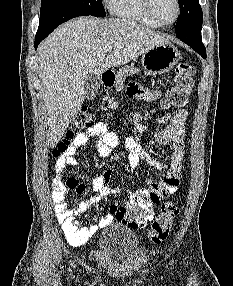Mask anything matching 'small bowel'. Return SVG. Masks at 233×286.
Wrapping results in <instances>:
<instances>
[{
	"label": "small bowel",
	"instance_id": "c3829d8e",
	"mask_svg": "<svg viewBox=\"0 0 233 286\" xmlns=\"http://www.w3.org/2000/svg\"><path fill=\"white\" fill-rule=\"evenodd\" d=\"M131 96L145 101H154L159 98L160 91L143 88L137 84L130 87ZM187 110L180 108L168 121L167 125L155 132V140L161 145L171 147L170 162L168 165L151 157L140 145L135 137L125 140V146L129 150L128 164L135 170L141 162L155 167L159 170H167L164 178L159 181L148 180L147 188L139 189L130 195V201L122 206L112 205L109 213L98 217V207L95 201H81L77 207L70 209L66 201L67 188L65 187L61 172L66 166H78L75 157L78 150L86 145L91 139L98 138L96 147L101 157H108L112 151L120 145V141L114 133L109 132L107 125L103 122L93 124L84 132L78 134L67 151L56 161V174L52 179L51 198L57 218L61 223L62 230L68 242L74 246L85 244L90 237L100 228L110 225L118 220L131 227H140L154 217V206L160 200L167 198L177 191L181 179L182 162L184 157V124L187 119ZM110 173L94 175L92 178L93 188L102 197L109 194H119V188H110ZM81 194L84 192L76 191ZM139 205L144 217L140 225L131 224L128 212L134 206ZM91 213V223L88 227L83 226L78 217L85 213Z\"/></svg>",
	"mask_w": 233,
	"mask_h": 286
}]
</instances>
